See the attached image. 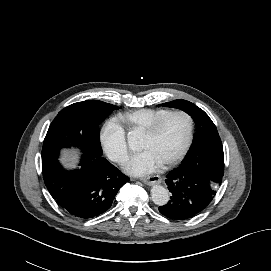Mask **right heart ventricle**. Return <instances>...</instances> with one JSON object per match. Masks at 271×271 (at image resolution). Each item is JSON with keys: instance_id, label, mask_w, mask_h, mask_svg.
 <instances>
[{"instance_id": "right-heart-ventricle-1", "label": "right heart ventricle", "mask_w": 271, "mask_h": 271, "mask_svg": "<svg viewBox=\"0 0 271 271\" xmlns=\"http://www.w3.org/2000/svg\"><path fill=\"white\" fill-rule=\"evenodd\" d=\"M170 111L169 108H143L119 114L116 121L128 131H143Z\"/></svg>"}]
</instances>
